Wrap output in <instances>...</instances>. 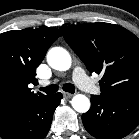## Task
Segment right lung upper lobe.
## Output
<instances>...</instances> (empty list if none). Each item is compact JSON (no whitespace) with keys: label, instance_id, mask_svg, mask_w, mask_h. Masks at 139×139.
Here are the masks:
<instances>
[{"label":"right lung upper lobe","instance_id":"cb5924a9","mask_svg":"<svg viewBox=\"0 0 139 139\" xmlns=\"http://www.w3.org/2000/svg\"><path fill=\"white\" fill-rule=\"evenodd\" d=\"M60 36L54 27L0 34V117L34 105L46 97L32 92L28 84L37 81L36 68Z\"/></svg>","mask_w":139,"mask_h":139}]
</instances>
